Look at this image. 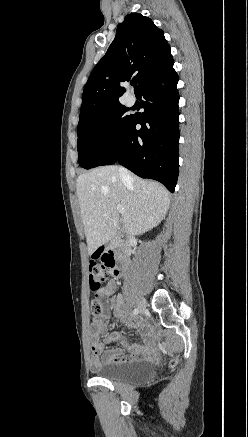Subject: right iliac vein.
<instances>
[{"label":"right iliac vein","instance_id":"1","mask_svg":"<svg viewBox=\"0 0 248 437\" xmlns=\"http://www.w3.org/2000/svg\"><path fill=\"white\" fill-rule=\"evenodd\" d=\"M146 308V300L144 298H140L138 301V309L142 313Z\"/></svg>","mask_w":248,"mask_h":437}]
</instances>
